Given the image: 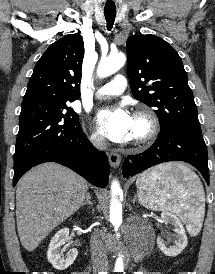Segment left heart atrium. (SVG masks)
<instances>
[{
	"mask_svg": "<svg viewBox=\"0 0 215 274\" xmlns=\"http://www.w3.org/2000/svg\"><path fill=\"white\" fill-rule=\"evenodd\" d=\"M96 121L110 140L125 142L131 139L133 116L124 106L101 109Z\"/></svg>",
	"mask_w": 215,
	"mask_h": 274,
	"instance_id": "obj_1",
	"label": "left heart atrium"
}]
</instances>
